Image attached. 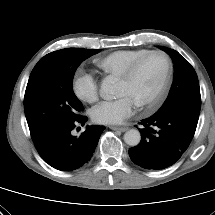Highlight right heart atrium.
Returning <instances> with one entry per match:
<instances>
[{
    "mask_svg": "<svg viewBox=\"0 0 215 215\" xmlns=\"http://www.w3.org/2000/svg\"><path fill=\"white\" fill-rule=\"evenodd\" d=\"M73 90L76 96L85 102L97 100L99 87L94 76L86 71H78L73 79Z\"/></svg>",
    "mask_w": 215,
    "mask_h": 215,
    "instance_id": "1",
    "label": "right heart atrium"
}]
</instances>
